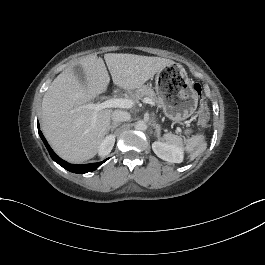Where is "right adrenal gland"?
<instances>
[{"instance_id": "right-adrenal-gland-1", "label": "right adrenal gland", "mask_w": 265, "mask_h": 265, "mask_svg": "<svg viewBox=\"0 0 265 265\" xmlns=\"http://www.w3.org/2000/svg\"><path fill=\"white\" fill-rule=\"evenodd\" d=\"M119 127V124H112L110 132L112 133L115 128Z\"/></svg>"}]
</instances>
